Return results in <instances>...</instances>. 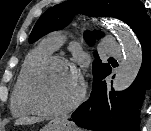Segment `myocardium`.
<instances>
[{"label":"myocardium","mask_w":151,"mask_h":131,"mask_svg":"<svg viewBox=\"0 0 151 131\" xmlns=\"http://www.w3.org/2000/svg\"><path fill=\"white\" fill-rule=\"evenodd\" d=\"M55 64L65 65L69 67L71 70H73L79 80V87L75 96L66 105L57 109H44L38 106L32 98L31 94L32 80L38 72ZM85 91H86L85 82L77 67L71 61H69L67 58L63 56L49 55L35 62L27 71L23 83L22 101L24 106L31 113L44 117H55L67 114L72 110L76 109L81 104L85 96Z\"/></svg>","instance_id":"obj_1"}]
</instances>
